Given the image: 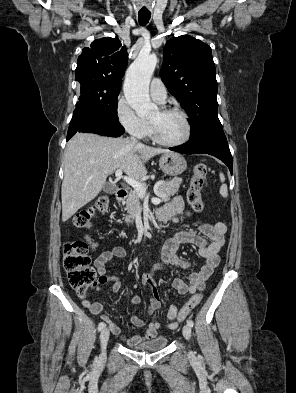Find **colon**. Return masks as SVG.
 <instances>
[{
    "instance_id": "obj_1",
    "label": "colon",
    "mask_w": 296,
    "mask_h": 393,
    "mask_svg": "<svg viewBox=\"0 0 296 393\" xmlns=\"http://www.w3.org/2000/svg\"><path fill=\"white\" fill-rule=\"evenodd\" d=\"M208 167L204 163H199L194 167L187 192V199L191 208L195 212H202L204 202L201 197V189L205 183ZM109 206V199L106 196L98 197L93 205L76 213L73 223L78 228H85L90 225L92 217L96 213H105ZM89 244L85 240H75L68 242L64 247V267L68 274L70 286L80 295H84L87 289L95 282L96 273L90 265L88 256ZM202 293L194 294L189 301L180 309L177 321L185 320L200 303Z\"/></svg>"
}]
</instances>
